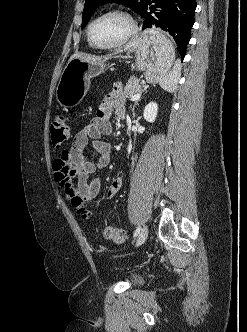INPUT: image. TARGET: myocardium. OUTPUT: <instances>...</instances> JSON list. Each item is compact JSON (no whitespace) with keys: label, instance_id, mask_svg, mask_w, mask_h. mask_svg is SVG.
<instances>
[{"label":"myocardium","instance_id":"obj_1","mask_svg":"<svg viewBox=\"0 0 247 332\" xmlns=\"http://www.w3.org/2000/svg\"><path fill=\"white\" fill-rule=\"evenodd\" d=\"M109 15H118V16L125 18L129 24V29H128L127 33L124 35V37L114 44H110V45L97 44L92 39V35H91L92 26L94 25V23L97 20H99L105 16H109ZM136 32H137V24L129 13L119 10V9H111V10H107V11L99 14L89 23V25L87 27V38H88L89 43L95 48L104 49V50H113V49L121 48L126 43H128L131 40V38L136 34Z\"/></svg>","mask_w":247,"mask_h":332}]
</instances>
